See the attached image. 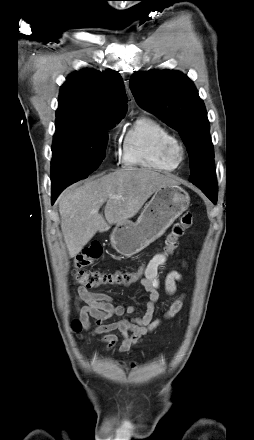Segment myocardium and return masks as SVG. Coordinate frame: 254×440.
Returning a JSON list of instances; mask_svg holds the SVG:
<instances>
[{
  "mask_svg": "<svg viewBox=\"0 0 254 440\" xmlns=\"http://www.w3.org/2000/svg\"><path fill=\"white\" fill-rule=\"evenodd\" d=\"M161 154L166 161L177 166L185 159L186 151L179 139L171 137L163 144Z\"/></svg>",
  "mask_w": 254,
  "mask_h": 440,
  "instance_id": "f54148a6",
  "label": "myocardium"
}]
</instances>
